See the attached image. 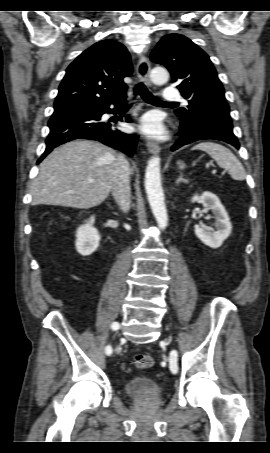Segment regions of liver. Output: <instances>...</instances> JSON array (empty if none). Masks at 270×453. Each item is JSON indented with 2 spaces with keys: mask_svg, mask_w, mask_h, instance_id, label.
Listing matches in <instances>:
<instances>
[{
  "mask_svg": "<svg viewBox=\"0 0 270 453\" xmlns=\"http://www.w3.org/2000/svg\"><path fill=\"white\" fill-rule=\"evenodd\" d=\"M117 156L107 146L89 140H75L55 149L40 164L31 187L32 204L78 209L98 206L112 190Z\"/></svg>",
  "mask_w": 270,
  "mask_h": 453,
  "instance_id": "liver-1",
  "label": "liver"
}]
</instances>
